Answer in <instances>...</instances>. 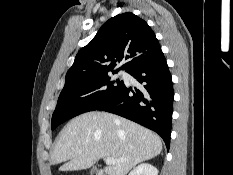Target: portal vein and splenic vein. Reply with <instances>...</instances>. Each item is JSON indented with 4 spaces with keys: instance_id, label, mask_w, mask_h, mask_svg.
Listing matches in <instances>:
<instances>
[{
    "instance_id": "portal-vein-and-splenic-vein-1",
    "label": "portal vein and splenic vein",
    "mask_w": 233,
    "mask_h": 175,
    "mask_svg": "<svg viewBox=\"0 0 233 175\" xmlns=\"http://www.w3.org/2000/svg\"><path fill=\"white\" fill-rule=\"evenodd\" d=\"M117 162H118V161L115 160V159H113V158H106V159H105V163H106L107 165L115 164V163H117Z\"/></svg>"
}]
</instances>
